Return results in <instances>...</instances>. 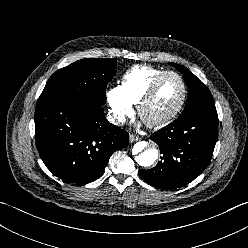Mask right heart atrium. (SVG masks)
I'll use <instances>...</instances> for the list:
<instances>
[{
	"label": "right heart atrium",
	"mask_w": 248,
	"mask_h": 248,
	"mask_svg": "<svg viewBox=\"0 0 248 248\" xmlns=\"http://www.w3.org/2000/svg\"><path fill=\"white\" fill-rule=\"evenodd\" d=\"M107 101L116 123L122 124L133 115V104L124 95L120 86L112 87L108 91Z\"/></svg>",
	"instance_id": "obj_1"
}]
</instances>
